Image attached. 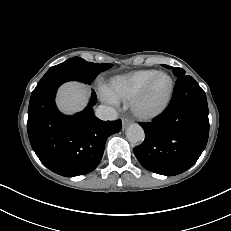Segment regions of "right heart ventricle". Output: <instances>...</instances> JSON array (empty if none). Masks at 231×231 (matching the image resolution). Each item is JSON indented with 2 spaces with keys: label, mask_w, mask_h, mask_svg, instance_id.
Returning <instances> with one entry per match:
<instances>
[{
  "label": "right heart ventricle",
  "mask_w": 231,
  "mask_h": 231,
  "mask_svg": "<svg viewBox=\"0 0 231 231\" xmlns=\"http://www.w3.org/2000/svg\"><path fill=\"white\" fill-rule=\"evenodd\" d=\"M156 70H136L112 77L103 87L105 97L116 102L129 100L156 74Z\"/></svg>",
  "instance_id": "right-heart-ventricle-1"
}]
</instances>
